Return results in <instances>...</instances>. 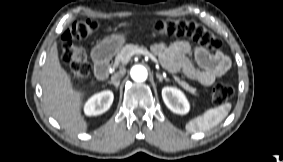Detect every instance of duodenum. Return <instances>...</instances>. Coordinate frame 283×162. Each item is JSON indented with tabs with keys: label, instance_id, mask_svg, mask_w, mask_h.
Returning <instances> with one entry per match:
<instances>
[{
	"label": "duodenum",
	"instance_id": "410a0bca",
	"mask_svg": "<svg viewBox=\"0 0 283 162\" xmlns=\"http://www.w3.org/2000/svg\"><path fill=\"white\" fill-rule=\"evenodd\" d=\"M95 74L99 79H105L110 72L111 55L108 50L99 48L94 52Z\"/></svg>",
	"mask_w": 283,
	"mask_h": 162
}]
</instances>
